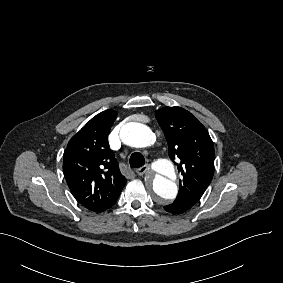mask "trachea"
<instances>
[{"instance_id": "obj_1", "label": "trachea", "mask_w": 283, "mask_h": 283, "mask_svg": "<svg viewBox=\"0 0 283 283\" xmlns=\"http://www.w3.org/2000/svg\"><path fill=\"white\" fill-rule=\"evenodd\" d=\"M129 164L131 168L142 167L145 164L144 156L139 152L131 154L129 158Z\"/></svg>"}]
</instances>
